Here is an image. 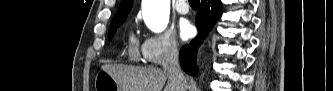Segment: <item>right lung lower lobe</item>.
Listing matches in <instances>:
<instances>
[{"instance_id": "obj_1", "label": "right lung lower lobe", "mask_w": 333, "mask_h": 91, "mask_svg": "<svg viewBox=\"0 0 333 91\" xmlns=\"http://www.w3.org/2000/svg\"><path fill=\"white\" fill-rule=\"evenodd\" d=\"M221 13L222 3L220 0H202L200 10L196 15L198 35L190 44L183 46L179 54L181 66L186 73L193 76L197 74L195 62L197 50Z\"/></svg>"}]
</instances>
